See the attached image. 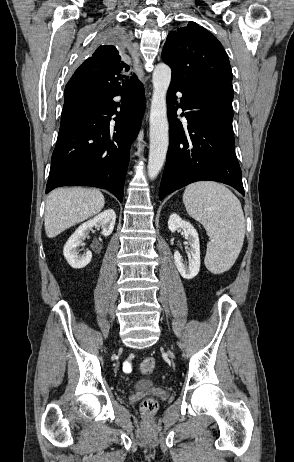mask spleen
Returning a JSON list of instances; mask_svg holds the SVG:
<instances>
[{"label":"spleen","instance_id":"spleen-1","mask_svg":"<svg viewBox=\"0 0 294 462\" xmlns=\"http://www.w3.org/2000/svg\"><path fill=\"white\" fill-rule=\"evenodd\" d=\"M188 214L205 228V265L214 274L229 270L241 251L245 219L238 198L224 185L202 181L188 185L183 194Z\"/></svg>","mask_w":294,"mask_h":462}]
</instances>
